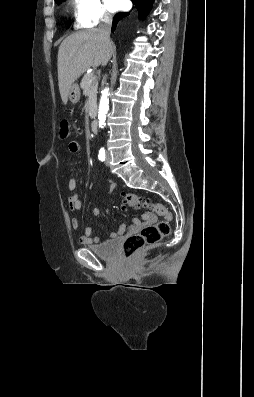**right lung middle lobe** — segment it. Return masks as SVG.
I'll return each instance as SVG.
<instances>
[{
	"mask_svg": "<svg viewBox=\"0 0 254 397\" xmlns=\"http://www.w3.org/2000/svg\"><path fill=\"white\" fill-rule=\"evenodd\" d=\"M62 1H65V0H56L55 2H56L57 4H60V3H62Z\"/></svg>",
	"mask_w": 254,
	"mask_h": 397,
	"instance_id": "right-lung-middle-lobe-1",
	"label": "right lung middle lobe"
}]
</instances>
